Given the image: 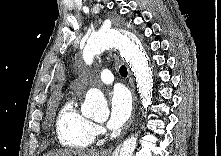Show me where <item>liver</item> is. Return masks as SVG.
<instances>
[{"label": "liver", "mask_w": 221, "mask_h": 156, "mask_svg": "<svg viewBox=\"0 0 221 156\" xmlns=\"http://www.w3.org/2000/svg\"><path fill=\"white\" fill-rule=\"evenodd\" d=\"M44 156H99L95 150L56 149L47 152Z\"/></svg>", "instance_id": "liver-1"}]
</instances>
